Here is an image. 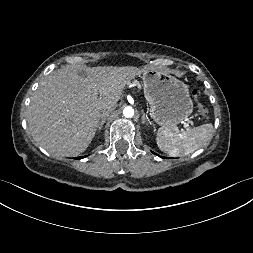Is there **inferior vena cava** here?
<instances>
[{"label": "inferior vena cava", "mask_w": 253, "mask_h": 253, "mask_svg": "<svg viewBox=\"0 0 253 253\" xmlns=\"http://www.w3.org/2000/svg\"><path fill=\"white\" fill-rule=\"evenodd\" d=\"M116 103H111L105 107L102 108L101 110V117L108 116L115 108H116Z\"/></svg>", "instance_id": "inferior-vena-cava-1"}]
</instances>
